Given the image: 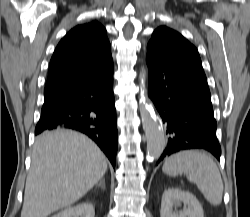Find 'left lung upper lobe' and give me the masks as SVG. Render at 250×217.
I'll use <instances>...</instances> for the list:
<instances>
[{
    "label": "left lung upper lobe",
    "instance_id": "obj_1",
    "mask_svg": "<svg viewBox=\"0 0 250 217\" xmlns=\"http://www.w3.org/2000/svg\"><path fill=\"white\" fill-rule=\"evenodd\" d=\"M147 49L165 60L195 64L202 68L197 49L181 34L166 26H161L154 31Z\"/></svg>",
    "mask_w": 250,
    "mask_h": 217
}]
</instances>
